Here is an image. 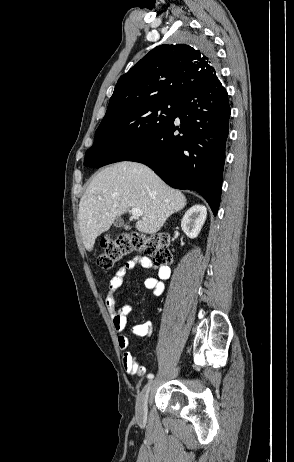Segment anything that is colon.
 I'll use <instances>...</instances> for the list:
<instances>
[{"label":"colon","instance_id":"obj_1","mask_svg":"<svg viewBox=\"0 0 294 462\" xmlns=\"http://www.w3.org/2000/svg\"><path fill=\"white\" fill-rule=\"evenodd\" d=\"M132 253H143L157 265H168L172 262L168 235L122 233L103 242L102 250L97 256V263L102 269L108 270L123 257Z\"/></svg>","mask_w":294,"mask_h":462}]
</instances>
